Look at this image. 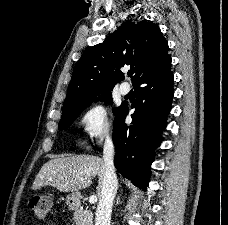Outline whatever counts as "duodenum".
<instances>
[{"label": "duodenum", "mask_w": 228, "mask_h": 225, "mask_svg": "<svg viewBox=\"0 0 228 225\" xmlns=\"http://www.w3.org/2000/svg\"><path fill=\"white\" fill-rule=\"evenodd\" d=\"M77 198L75 196H72V201L75 202Z\"/></svg>", "instance_id": "obj_1"}]
</instances>
